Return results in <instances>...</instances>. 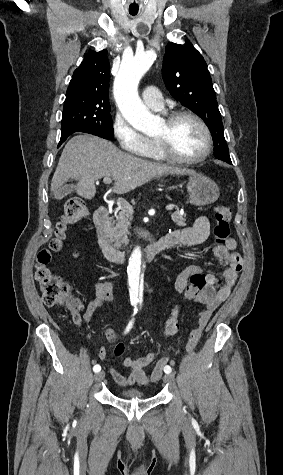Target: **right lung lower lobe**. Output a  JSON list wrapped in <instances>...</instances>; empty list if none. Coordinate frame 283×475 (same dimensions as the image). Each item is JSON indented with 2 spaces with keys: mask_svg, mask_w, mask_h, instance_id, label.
<instances>
[{
  "mask_svg": "<svg viewBox=\"0 0 283 475\" xmlns=\"http://www.w3.org/2000/svg\"><path fill=\"white\" fill-rule=\"evenodd\" d=\"M73 133H74V132H72V131L66 132V133H62L58 147L67 139V137H68L69 135H71V134H73Z\"/></svg>",
  "mask_w": 283,
  "mask_h": 475,
  "instance_id": "right-lung-lower-lobe-1",
  "label": "right lung lower lobe"
}]
</instances>
